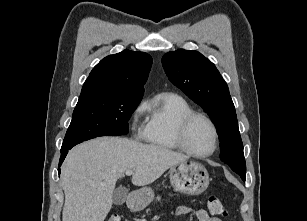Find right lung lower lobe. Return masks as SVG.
Returning a JSON list of instances; mask_svg holds the SVG:
<instances>
[{"label": "right lung lower lobe", "mask_w": 307, "mask_h": 221, "mask_svg": "<svg viewBox=\"0 0 307 221\" xmlns=\"http://www.w3.org/2000/svg\"><path fill=\"white\" fill-rule=\"evenodd\" d=\"M68 153V150L66 151H61V157H60V161H59V166L62 164V162L64 161L66 155ZM59 173H60V170H59Z\"/></svg>", "instance_id": "obj_1"}]
</instances>
